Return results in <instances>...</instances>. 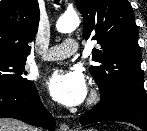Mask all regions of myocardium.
<instances>
[{
  "mask_svg": "<svg viewBox=\"0 0 147 131\" xmlns=\"http://www.w3.org/2000/svg\"><path fill=\"white\" fill-rule=\"evenodd\" d=\"M100 100V93L97 89H93L88 100V106L96 105Z\"/></svg>",
  "mask_w": 147,
  "mask_h": 131,
  "instance_id": "obj_1",
  "label": "myocardium"
}]
</instances>
